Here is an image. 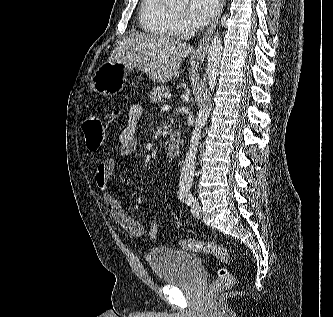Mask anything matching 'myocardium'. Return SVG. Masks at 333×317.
<instances>
[{
	"mask_svg": "<svg viewBox=\"0 0 333 317\" xmlns=\"http://www.w3.org/2000/svg\"><path fill=\"white\" fill-rule=\"evenodd\" d=\"M172 13H173V15H174V16H177V14H176V13H174V12H172Z\"/></svg>",
	"mask_w": 333,
	"mask_h": 317,
	"instance_id": "obj_1",
	"label": "myocardium"
}]
</instances>
